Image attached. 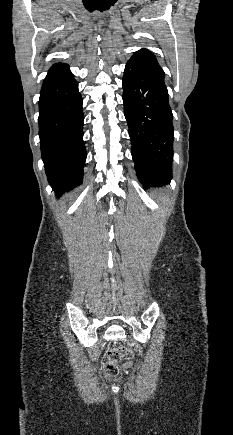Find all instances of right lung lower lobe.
I'll list each match as a JSON object with an SVG mask.
<instances>
[{"label":"right lung lower lobe","mask_w":233,"mask_h":435,"mask_svg":"<svg viewBox=\"0 0 233 435\" xmlns=\"http://www.w3.org/2000/svg\"><path fill=\"white\" fill-rule=\"evenodd\" d=\"M38 120L45 172L59 197L82 182L87 156L82 97L72 73L42 86Z\"/></svg>","instance_id":"1"}]
</instances>
